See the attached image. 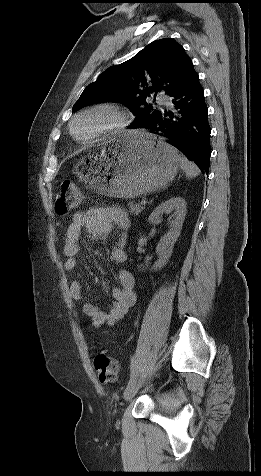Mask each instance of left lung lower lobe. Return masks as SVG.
<instances>
[{
  "label": "left lung lower lobe",
  "mask_w": 261,
  "mask_h": 476,
  "mask_svg": "<svg viewBox=\"0 0 261 476\" xmlns=\"http://www.w3.org/2000/svg\"><path fill=\"white\" fill-rule=\"evenodd\" d=\"M169 96L171 106L140 128L155 130V134L163 137L208 174L211 128L204 92L193 66L179 88Z\"/></svg>",
  "instance_id": "left-lung-lower-lobe-1"
}]
</instances>
